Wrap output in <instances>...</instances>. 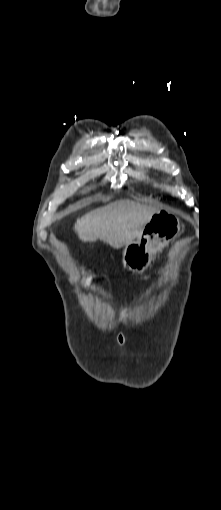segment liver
Returning <instances> with one entry per match:
<instances>
[{"mask_svg": "<svg viewBox=\"0 0 221 510\" xmlns=\"http://www.w3.org/2000/svg\"><path fill=\"white\" fill-rule=\"evenodd\" d=\"M158 211L130 200L115 201L77 219L74 230L83 242L99 239L119 249L134 242L150 217Z\"/></svg>", "mask_w": 221, "mask_h": 510, "instance_id": "1", "label": "liver"}]
</instances>
